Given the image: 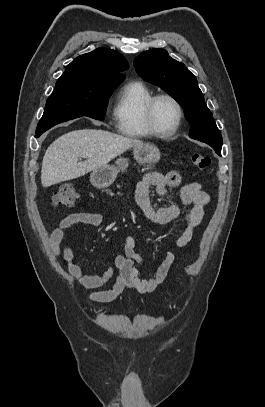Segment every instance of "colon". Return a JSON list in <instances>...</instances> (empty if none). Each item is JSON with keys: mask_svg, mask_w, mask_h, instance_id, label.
<instances>
[{"mask_svg": "<svg viewBox=\"0 0 265 407\" xmlns=\"http://www.w3.org/2000/svg\"><path fill=\"white\" fill-rule=\"evenodd\" d=\"M193 165L200 169L205 170L210 166V157L206 154L193 152L190 156ZM79 199V193L72 184H64L58 188L53 194L51 201L53 205H72Z\"/></svg>", "mask_w": 265, "mask_h": 407, "instance_id": "obj_1", "label": "colon"}]
</instances>
